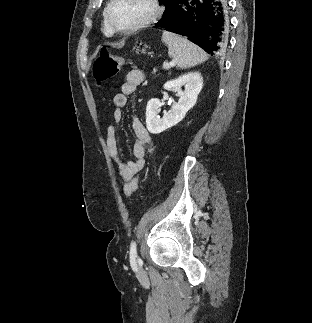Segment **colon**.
Returning a JSON list of instances; mask_svg holds the SVG:
<instances>
[{
    "label": "colon",
    "instance_id": "colon-1",
    "mask_svg": "<svg viewBox=\"0 0 312 323\" xmlns=\"http://www.w3.org/2000/svg\"><path fill=\"white\" fill-rule=\"evenodd\" d=\"M124 62L122 57H114L109 49L103 48L101 54L94 61L93 75L95 78L105 81L114 76L124 66ZM137 185V179L132 180L130 184H124V196H131Z\"/></svg>",
    "mask_w": 312,
    "mask_h": 323
}]
</instances>
